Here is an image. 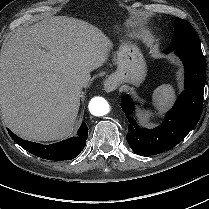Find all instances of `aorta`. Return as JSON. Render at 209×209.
<instances>
[{
	"label": "aorta",
	"instance_id": "obj_1",
	"mask_svg": "<svg viewBox=\"0 0 209 209\" xmlns=\"http://www.w3.org/2000/svg\"><path fill=\"white\" fill-rule=\"evenodd\" d=\"M89 111L92 115L101 117L109 112V104L103 97H94L90 100L88 105Z\"/></svg>",
	"mask_w": 209,
	"mask_h": 209
}]
</instances>
